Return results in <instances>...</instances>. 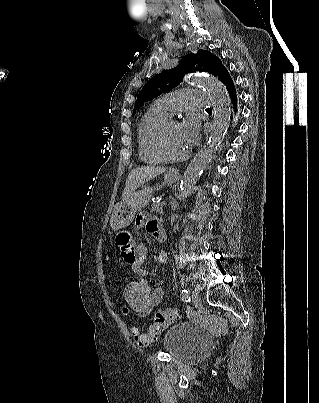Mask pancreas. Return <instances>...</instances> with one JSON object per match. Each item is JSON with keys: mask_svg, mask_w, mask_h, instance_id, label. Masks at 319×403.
<instances>
[{"mask_svg": "<svg viewBox=\"0 0 319 403\" xmlns=\"http://www.w3.org/2000/svg\"><path fill=\"white\" fill-rule=\"evenodd\" d=\"M150 210L158 214H163V207L160 203L157 202L152 203V205L150 206Z\"/></svg>", "mask_w": 319, "mask_h": 403, "instance_id": "obj_1", "label": "pancreas"}]
</instances>
